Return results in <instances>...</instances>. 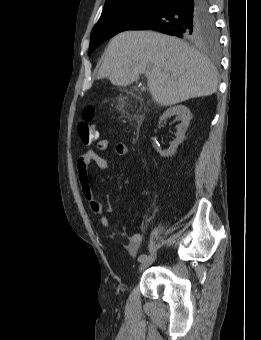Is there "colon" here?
<instances>
[{
	"mask_svg": "<svg viewBox=\"0 0 261 340\" xmlns=\"http://www.w3.org/2000/svg\"><path fill=\"white\" fill-rule=\"evenodd\" d=\"M96 119V107L93 105L87 106L83 110L82 121L77 126V132L83 144H90L98 138Z\"/></svg>",
	"mask_w": 261,
	"mask_h": 340,
	"instance_id": "5ec220e1",
	"label": "colon"
}]
</instances>
